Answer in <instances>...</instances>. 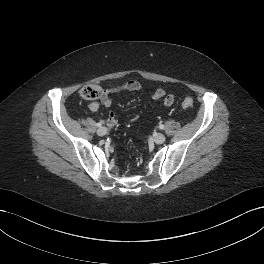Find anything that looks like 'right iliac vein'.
Wrapping results in <instances>:
<instances>
[{
    "mask_svg": "<svg viewBox=\"0 0 264 264\" xmlns=\"http://www.w3.org/2000/svg\"><path fill=\"white\" fill-rule=\"evenodd\" d=\"M97 134L99 136H104L107 134V128L106 127H100L98 130H97Z\"/></svg>",
    "mask_w": 264,
    "mask_h": 264,
    "instance_id": "obj_1",
    "label": "right iliac vein"
}]
</instances>
